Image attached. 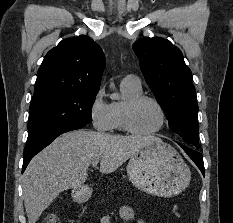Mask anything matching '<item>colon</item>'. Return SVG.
I'll list each match as a JSON object with an SVG mask.
<instances>
[{"label":"colon","mask_w":233,"mask_h":223,"mask_svg":"<svg viewBox=\"0 0 233 223\" xmlns=\"http://www.w3.org/2000/svg\"><path fill=\"white\" fill-rule=\"evenodd\" d=\"M43 223H60L59 218L56 214L50 213L44 220Z\"/></svg>","instance_id":"obj_1"}]
</instances>
